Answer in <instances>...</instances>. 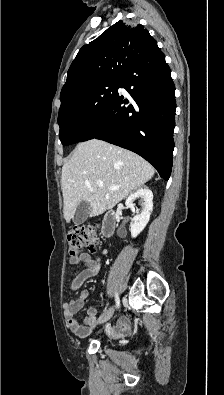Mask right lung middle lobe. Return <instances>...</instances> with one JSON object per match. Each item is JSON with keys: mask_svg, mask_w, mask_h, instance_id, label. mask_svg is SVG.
<instances>
[{"mask_svg": "<svg viewBox=\"0 0 224 395\" xmlns=\"http://www.w3.org/2000/svg\"><path fill=\"white\" fill-rule=\"evenodd\" d=\"M121 78L86 87L61 101L58 115L59 138L64 146L81 141L97 117L118 92Z\"/></svg>", "mask_w": 224, "mask_h": 395, "instance_id": "1", "label": "right lung middle lobe"}]
</instances>
